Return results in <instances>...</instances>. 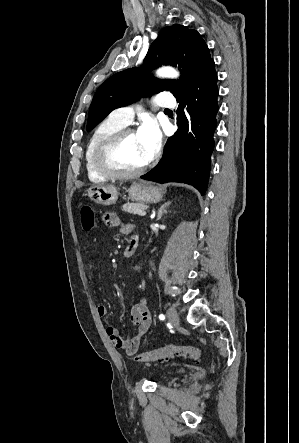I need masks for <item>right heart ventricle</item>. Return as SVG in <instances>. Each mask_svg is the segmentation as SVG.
<instances>
[{
  "instance_id": "right-heart-ventricle-1",
  "label": "right heart ventricle",
  "mask_w": 299,
  "mask_h": 443,
  "mask_svg": "<svg viewBox=\"0 0 299 443\" xmlns=\"http://www.w3.org/2000/svg\"><path fill=\"white\" fill-rule=\"evenodd\" d=\"M124 127L125 125L109 116L100 122L91 133L85 149V168L91 182L101 183L107 180L108 177L101 174L95 166V153L106 138Z\"/></svg>"
}]
</instances>
